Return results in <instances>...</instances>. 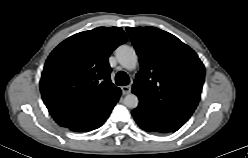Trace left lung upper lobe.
I'll return each mask as SVG.
<instances>
[{
	"label": "left lung upper lobe",
	"instance_id": "obj_1",
	"mask_svg": "<svg viewBox=\"0 0 248 158\" xmlns=\"http://www.w3.org/2000/svg\"><path fill=\"white\" fill-rule=\"evenodd\" d=\"M141 70L132 92L139 108L178 130L196 109L205 68L197 54L174 35L155 27H127Z\"/></svg>",
	"mask_w": 248,
	"mask_h": 158
}]
</instances>
